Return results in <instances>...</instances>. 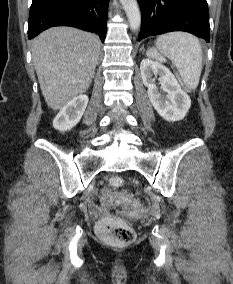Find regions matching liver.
Segmentation results:
<instances>
[{"mask_svg": "<svg viewBox=\"0 0 233 284\" xmlns=\"http://www.w3.org/2000/svg\"><path fill=\"white\" fill-rule=\"evenodd\" d=\"M100 40L72 27H52L32 41V59L49 108L62 109L84 93L95 75Z\"/></svg>", "mask_w": 233, "mask_h": 284, "instance_id": "obj_1", "label": "liver"}]
</instances>
